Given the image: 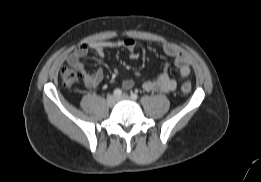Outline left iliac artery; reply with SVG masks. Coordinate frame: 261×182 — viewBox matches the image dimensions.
Returning a JSON list of instances; mask_svg holds the SVG:
<instances>
[{"label": "left iliac artery", "mask_w": 261, "mask_h": 182, "mask_svg": "<svg viewBox=\"0 0 261 182\" xmlns=\"http://www.w3.org/2000/svg\"><path fill=\"white\" fill-rule=\"evenodd\" d=\"M138 95L136 93H131V99L136 100Z\"/></svg>", "instance_id": "left-iliac-artery-1"}]
</instances>
